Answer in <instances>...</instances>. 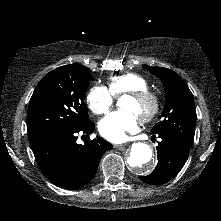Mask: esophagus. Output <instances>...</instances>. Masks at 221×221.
I'll return each mask as SVG.
<instances>
[{"instance_id":"esophagus-1","label":"esophagus","mask_w":221,"mask_h":221,"mask_svg":"<svg viewBox=\"0 0 221 221\" xmlns=\"http://www.w3.org/2000/svg\"><path fill=\"white\" fill-rule=\"evenodd\" d=\"M126 145H127V143H125V144H115V145H114V148H116V149H122V148H124Z\"/></svg>"}]
</instances>
